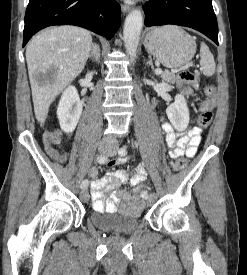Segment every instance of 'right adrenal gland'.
<instances>
[{"instance_id":"obj_1","label":"right adrenal gland","mask_w":247,"mask_h":275,"mask_svg":"<svg viewBox=\"0 0 247 275\" xmlns=\"http://www.w3.org/2000/svg\"><path fill=\"white\" fill-rule=\"evenodd\" d=\"M99 58H100L99 46L95 43H92V49H91V53L89 54V59H91L92 61L98 62Z\"/></svg>"}]
</instances>
